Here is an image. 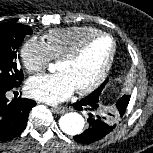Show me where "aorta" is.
I'll return each mask as SVG.
<instances>
[{
	"label": "aorta",
	"instance_id": "762f6f07",
	"mask_svg": "<svg viewBox=\"0 0 153 153\" xmlns=\"http://www.w3.org/2000/svg\"><path fill=\"white\" fill-rule=\"evenodd\" d=\"M85 120L77 112H69L59 119L60 129L68 135H78L82 132Z\"/></svg>",
	"mask_w": 153,
	"mask_h": 153
}]
</instances>
